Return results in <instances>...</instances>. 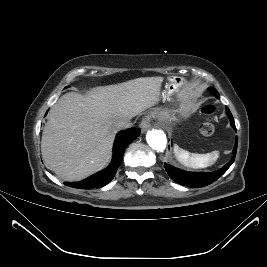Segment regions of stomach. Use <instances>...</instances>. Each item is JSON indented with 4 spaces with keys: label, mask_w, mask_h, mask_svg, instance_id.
Returning <instances> with one entry per match:
<instances>
[{
    "label": "stomach",
    "mask_w": 267,
    "mask_h": 267,
    "mask_svg": "<svg viewBox=\"0 0 267 267\" xmlns=\"http://www.w3.org/2000/svg\"><path fill=\"white\" fill-rule=\"evenodd\" d=\"M169 82L166 84L167 94L180 93L185 86V79L178 76L169 77Z\"/></svg>",
    "instance_id": "obj_1"
}]
</instances>
